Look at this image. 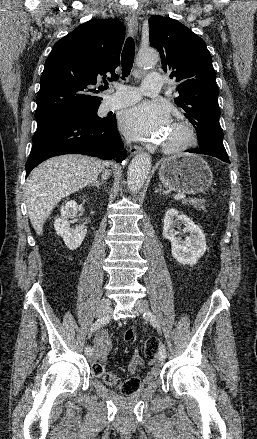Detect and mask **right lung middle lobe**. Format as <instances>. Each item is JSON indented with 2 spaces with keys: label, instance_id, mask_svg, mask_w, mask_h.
I'll return each instance as SVG.
<instances>
[{
  "label": "right lung middle lobe",
  "instance_id": "obj_1",
  "mask_svg": "<svg viewBox=\"0 0 257 439\" xmlns=\"http://www.w3.org/2000/svg\"><path fill=\"white\" fill-rule=\"evenodd\" d=\"M97 110H98V107H93V108H86V109L77 110V111L72 112V113L85 115V116L91 117L92 119H95V120L105 119V118H100L97 115Z\"/></svg>",
  "mask_w": 257,
  "mask_h": 439
}]
</instances>
